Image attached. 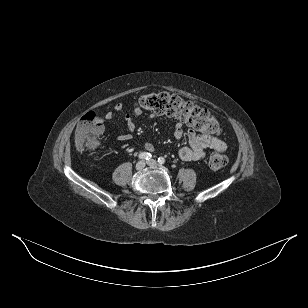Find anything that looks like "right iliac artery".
<instances>
[{
	"label": "right iliac artery",
	"instance_id": "82829eb1",
	"mask_svg": "<svg viewBox=\"0 0 308 308\" xmlns=\"http://www.w3.org/2000/svg\"><path fill=\"white\" fill-rule=\"evenodd\" d=\"M151 154L150 153H148V152H142V153H140L139 154V158L140 159H143V160H149V159H151Z\"/></svg>",
	"mask_w": 308,
	"mask_h": 308
}]
</instances>
